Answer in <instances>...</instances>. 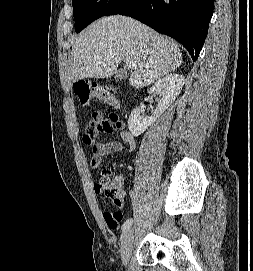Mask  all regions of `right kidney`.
I'll return each instance as SVG.
<instances>
[{
    "mask_svg": "<svg viewBox=\"0 0 253 271\" xmlns=\"http://www.w3.org/2000/svg\"><path fill=\"white\" fill-rule=\"evenodd\" d=\"M185 78L179 74H169L159 79L150 89L149 93L159 95L158 105L150 118L141 116L142 109L135 108L128 119V128L135 137L144 133L157 118L164 113L180 94Z\"/></svg>",
    "mask_w": 253,
    "mask_h": 271,
    "instance_id": "right-kidney-1",
    "label": "right kidney"
}]
</instances>
